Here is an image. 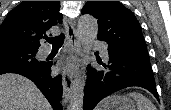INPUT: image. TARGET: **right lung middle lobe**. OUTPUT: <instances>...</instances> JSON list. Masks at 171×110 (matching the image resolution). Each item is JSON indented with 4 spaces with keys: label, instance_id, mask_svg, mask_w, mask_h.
<instances>
[{
    "label": "right lung middle lobe",
    "instance_id": "1",
    "mask_svg": "<svg viewBox=\"0 0 171 110\" xmlns=\"http://www.w3.org/2000/svg\"><path fill=\"white\" fill-rule=\"evenodd\" d=\"M37 49L25 47H1L0 48V72L12 68L39 67L44 64L35 58Z\"/></svg>",
    "mask_w": 171,
    "mask_h": 110
}]
</instances>
